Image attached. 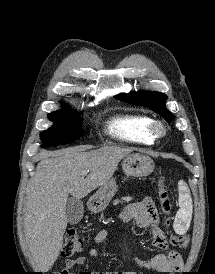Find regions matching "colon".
<instances>
[{
    "label": "colon",
    "mask_w": 215,
    "mask_h": 274,
    "mask_svg": "<svg viewBox=\"0 0 215 274\" xmlns=\"http://www.w3.org/2000/svg\"><path fill=\"white\" fill-rule=\"evenodd\" d=\"M158 199L160 202L161 211L167 216L169 222V215L172 211V202L169 196V192L165 182L160 181L158 187ZM172 243L176 247L184 248L188 245V238L184 235H173ZM84 245V239L74 230L70 229L65 235L64 244L61 249V254L64 257H71L75 253L82 250ZM59 272L58 274H60Z\"/></svg>",
    "instance_id": "1"
}]
</instances>
